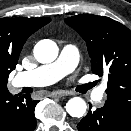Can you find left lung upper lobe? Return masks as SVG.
Wrapping results in <instances>:
<instances>
[{"mask_svg": "<svg viewBox=\"0 0 131 131\" xmlns=\"http://www.w3.org/2000/svg\"><path fill=\"white\" fill-rule=\"evenodd\" d=\"M85 40L92 72L108 76V102L131 111V31L105 16L80 14L65 19Z\"/></svg>", "mask_w": 131, "mask_h": 131, "instance_id": "obj_1", "label": "left lung upper lobe"}]
</instances>
